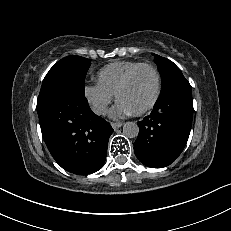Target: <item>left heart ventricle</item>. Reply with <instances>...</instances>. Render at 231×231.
I'll return each instance as SVG.
<instances>
[{
	"instance_id": "b2bd125f",
	"label": "left heart ventricle",
	"mask_w": 231,
	"mask_h": 231,
	"mask_svg": "<svg viewBox=\"0 0 231 231\" xmlns=\"http://www.w3.org/2000/svg\"><path fill=\"white\" fill-rule=\"evenodd\" d=\"M156 90L154 73L148 69H141L131 83L121 92L119 101L132 112H136L150 103Z\"/></svg>"
}]
</instances>
